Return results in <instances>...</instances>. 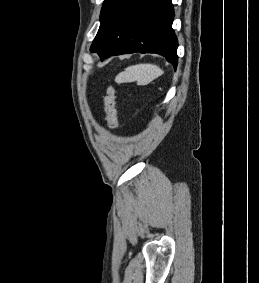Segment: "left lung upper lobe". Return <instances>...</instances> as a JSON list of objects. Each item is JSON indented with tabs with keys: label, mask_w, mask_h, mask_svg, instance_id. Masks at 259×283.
<instances>
[{
	"label": "left lung upper lobe",
	"mask_w": 259,
	"mask_h": 283,
	"mask_svg": "<svg viewBox=\"0 0 259 283\" xmlns=\"http://www.w3.org/2000/svg\"><path fill=\"white\" fill-rule=\"evenodd\" d=\"M124 2V0H105L101 14H100V28L98 30V33L94 39L93 42L97 41L104 31L106 30L107 26L109 25L110 21L116 14L117 10L121 6V4Z\"/></svg>",
	"instance_id": "left-lung-upper-lobe-1"
}]
</instances>
